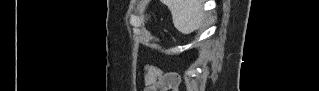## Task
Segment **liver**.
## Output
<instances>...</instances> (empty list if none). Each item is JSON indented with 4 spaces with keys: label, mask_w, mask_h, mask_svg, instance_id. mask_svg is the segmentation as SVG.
Returning a JSON list of instances; mask_svg holds the SVG:
<instances>
[{
    "label": "liver",
    "mask_w": 319,
    "mask_h": 91,
    "mask_svg": "<svg viewBox=\"0 0 319 91\" xmlns=\"http://www.w3.org/2000/svg\"><path fill=\"white\" fill-rule=\"evenodd\" d=\"M173 23L181 32L195 30L202 22L201 0H170Z\"/></svg>",
    "instance_id": "1"
}]
</instances>
